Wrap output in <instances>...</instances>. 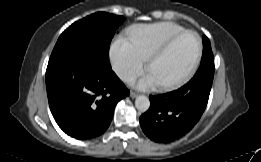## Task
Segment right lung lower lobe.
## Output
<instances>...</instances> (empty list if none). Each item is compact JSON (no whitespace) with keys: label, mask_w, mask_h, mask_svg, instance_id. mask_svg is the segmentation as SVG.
<instances>
[{"label":"right lung lower lobe","mask_w":261,"mask_h":162,"mask_svg":"<svg viewBox=\"0 0 261 162\" xmlns=\"http://www.w3.org/2000/svg\"><path fill=\"white\" fill-rule=\"evenodd\" d=\"M50 110L58 126L76 139H91L109 127L116 104L129 95L109 58L87 49L50 57L46 70Z\"/></svg>","instance_id":"right-lung-lower-lobe-1"}]
</instances>
